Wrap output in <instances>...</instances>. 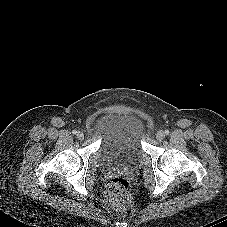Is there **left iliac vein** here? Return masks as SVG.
Segmentation results:
<instances>
[{
  "label": "left iliac vein",
  "mask_w": 227,
  "mask_h": 227,
  "mask_svg": "<svg viewBox=\"0 0 227 227\" xmlns=\"http://www.w3.org/2000/svg\"><path fill=\"white\" fill-rule=\"evenodd\" d=\"M164 137H165V132H164V131L159 130V131L156 133V139H157V140L161 141V140L164 139Z\"/></svg>",
  "instance_id": "1"
}]
</instances>
